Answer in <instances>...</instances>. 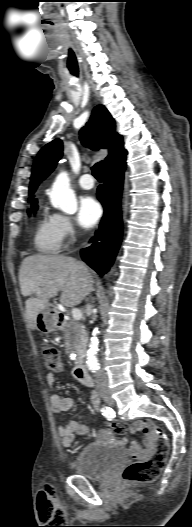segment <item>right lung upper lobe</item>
Returning <instances> with one entry per match:
<instances>
[{"instance_id":"right-lung-upper-lobe-1","label":"right lung upper lobe","mask_w":192,"mask_h":527,"mask_svg":"<svg viewBox=\"0 0 192 527\" xmlns=\"http://www.w3.org/2000/svg\"><path fill=\"white\" fill-rule=\"evenodd\" d=\"M82 143L93 149L104 148L109 150L105 159V168L112 165L117 159L127 152L123 148L122 136L115 132V121L103 105L94 108L90 121L80 131ZM62 141L55 139L45 145L35 158L29 188V202L32 199L39 183L53 171L62 157Z\"/></svg>"}]
</instances>
